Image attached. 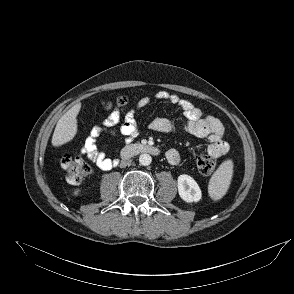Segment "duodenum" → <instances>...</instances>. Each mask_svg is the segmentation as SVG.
I'll list each match as a JSON object with an SVG mask.
<instances>
[{"mask_svg": "<svg viewBox=\"0 0 294 294\" xmlns=\"http://www.w3.org/2000/svg\"><path fill=\"white\" fill-rule=\"evenodd\" d=\"M159 152H160L159 149L155 146H152L149 144H143V143H136V144L126 146L122 150L121 159L128 160L137 154H143V153L157 155L159 154Z\"/></svg>", "mask_w": 294, "mask_h": 294, "instance_id": "obj_1", "label": "duodenum"}]
</instances>
